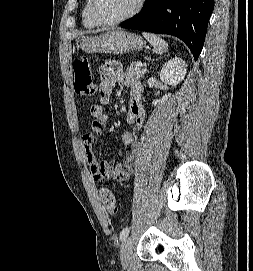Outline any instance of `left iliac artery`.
<instances>
[{
	"mask_svg": "<svg viewBox=\"0 0 253 271\" xmlns=\"http://www.w3.org/2000/svg\"><path fill=\"white\" fill-rule=\"evenodd\" d=\"M129 231H130V228L129 227H126L124 228L121 233H120V240L123 241L126 239V237L128 236L129 234Z\"/></svg>",
	"mask_w": 253,
	"mask_h": 271,
	"instance_id": "left-iliac-artery-1",
	"label": "left iliac artery"
}]
</instances>
